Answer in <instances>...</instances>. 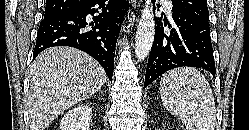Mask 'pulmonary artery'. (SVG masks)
<instances>
[{"instance_id":"1","label":"pulmonary artery","mask_w":249,"mask_h":130,"mask_svg":"<svg viewBox=\"0 0 249 130\" xmlns=\"http://www.w3.org/2000/svg\"><path fill=\"white\" fill-rule=\"evenodd\" d=\"M161 1H162V3L164 4L166 10H167L169 13H171L172 7H173V6H172L171 0H161Z\"/></svg>"}]
</instances>
